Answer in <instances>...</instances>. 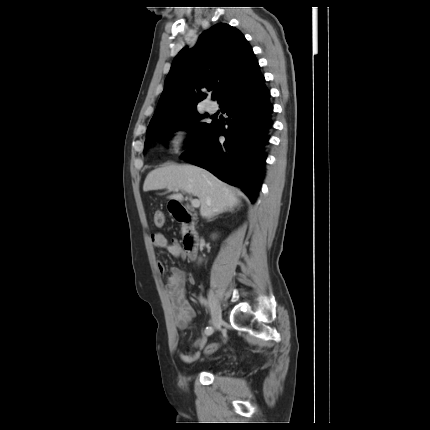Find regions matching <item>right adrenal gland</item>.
<instances>
[{
    "label": "right adrenal gland",
    "instance_id": "2a0ac1e0",
    "mask_svg": "<svg viewBox=\"0 0 430 430\" xmlns=\"http://www.w3.org/2000/svg\"><path fill=\"white\" fill-rule=\"evenodd\" d=\"M223 211H221V212H219V213H222ZM219 213H217V214H219ZM217 214H215V215H213L211 218H213L214 216H216Z\"/></svg>",
    "mask_w": 430,
    "mask_h": 430
}]
</instances>
